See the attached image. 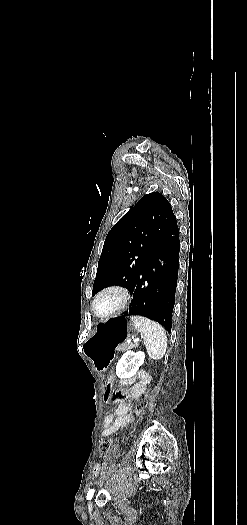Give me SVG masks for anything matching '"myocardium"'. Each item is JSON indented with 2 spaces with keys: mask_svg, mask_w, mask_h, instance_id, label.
<instances>
[{
  "mask_svg": "<svg viewBox=\"0 0 247 525\" xmlns=\"http://www.w3.org/2000/svg\"><path fill=\"white\" fill-rule=\"evenodd\" d=\"M106 292L118 293V294H120L121 299H120L119 303L116 306H114L113 308L107 309V310H105L103 312H99L97 310V308H96V302H97L98 298L102 294H104ZM129 299H130V291L125 285L119 284V283L106 284V285L102 286L95 293V295L93 296L92 303H91L92 312L98 318L111 317L113 315H116V314L120 313L125 308V306L127 305Z\"/></svg>",
  "mask_w": 247,
  "mask_h": 525,
  "instance_id": "obj_1",
  "label": "myocardium"
}]
</instances>
